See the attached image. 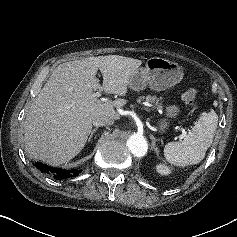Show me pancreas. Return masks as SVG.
I'll list each match as a JSON object with an SVG mask.
<instances>
[{
	"mask_svg": "<svg viewBox=\"0 0 237 237\" xmlns=\"http://www.w3.org/2000/svg\"><path fill=\"white\" fill-rule=\"evenodd\" d=\"M139 101L141 100H146L152 104H154L157 108L161 109L163 106H162V98H158L157 96L153 95H147V96H140Z\"/></svg>",
	"mask_w": 237,
	"mask_h": 237,
	"instance_id": "obj_1",
	"label": "pancreas"
}]
</instances>
